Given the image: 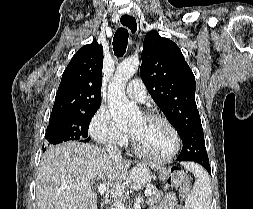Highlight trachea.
<instances>
[{"mask_svg":"<svg viewBox=\"0 0 253 209\" xmlns=\"http://www.w3.org/2000/svg\"><path fill=\"white\" fill-rule=\"evenodd\" d=\"M131 30L132 27L128 26ZM128 44V30L125 28L117 29L113 38V50L117 57H121L126 52Z\"/></svg>","mask_w":253,"mask_h":209,"instance_id":"3493384b","label":"trachea"}]
</instances>
